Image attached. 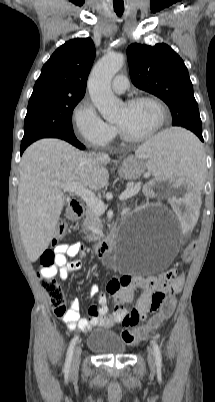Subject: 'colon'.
Listing matches in <instances>:
<instances>
[{"instance_id": "5ec220e1", "label": "colon", "mask_w": 215, "mask_h": 402, "mask_svg": "<svg viewBox=\"0 0 215 402\" xmlns=\"http://www.w3.org/2000/svg\"><path fill=\"white\" fill-rule=\"evenodd\" d=\"M67 232V226L64 222H60L57 225L55 236L53 239V243H56L59 239H61ZM198 248L197 240L191 239L190 245L185 246L183 251L180 253L181 260H192L195 250ZM55 253L52 250H46L40 257V264L43 268H50L55 264ZM176 275L174 270L166 271L161 274L166 279H171ZM42 285L49 296L52 309L54 313L62 317L67 313L66 306V297L65 294L57 281L53 279V277H43L42 276ZM160 309V313L152 319L150 324L146 327H139L136 329H126L121 333L122 340L127 344H135L144 339L150 329L156 328L162 320L169 317L174 308V298L172 296H168L165 298L164 295L160 293H155L152 298L151 303V311ZM138 318L137 314H134V319Z\"/></svg>"}]
</instances>
